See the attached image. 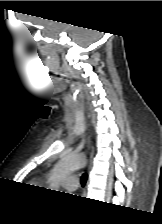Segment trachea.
I'll return each mask as SVG.
<instances>
[{"label":"trachea","mask_w":162,"mask_h":224,"mask_svg":"<svg viewBox=\"0 0 162 224\" xmlns=\"http://www.w3.org/2000/svg\"><path fill=\"white\" fill-rule=\"evenodd\" d=\"M87 181V174H83L81 177V185L84 186Z\"/></svg>","instance_id":"1"}]
</instances>
